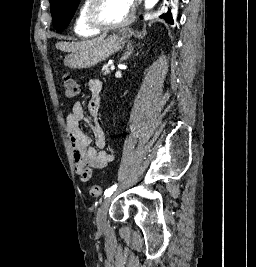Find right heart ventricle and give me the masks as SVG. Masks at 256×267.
Wrapping results in <instances>:
<instances>
[{"instance_id":"1","label":"right heart ventricle","mask_w":256,"mask_h":267,"mask_svg":"<svg viewBox=\"0 0 256 267\" xmlns=\"http://www.w3.org/2000/svg\"><path fill=\"white\" fill-rule=\"evenodd\" d=\"M91 3H92V0H89V5H87L80 11L74 23L73 32L76 36H98L101 34V32L96 31L93 28H91L86 20V14Z\"/></svg>"}]
</instances>
